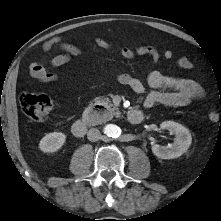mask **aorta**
<instances>
[{
    "label": "aorta",
    "instance_id": "obj_1",
    "mask_svg": "<svg viewBox=\"0 0 221 221\" xmlns=\"http://www.w3.org/2000/svg\"><path fill=\"white\" fill-rule=\"evenodd\" d=\"M104 132L107 136L115 138V137L119 136L120 129L116 125L109 124V125L105 126Z\"/></svg>",
    "mask_w": 221,
    "mask_h": 221
}]
</instances>
